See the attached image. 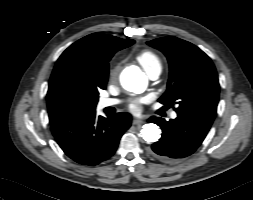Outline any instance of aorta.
<instances>
[{
	"label": "aorta",
	"mask_w": 253,
	"mask_h": 200,
	"mask_svg": "<svg viewBox=\"0 0 253 200\" xmlns=\"http://www.w3.org/2000/svg\"><path fill=\"white\" fill-rule=\"evenodd\" d=\"M121 84L128 91L142 93L147 87L148 80L143 72L132 68L121 76ZM141 136L148 143L156 142L161 137V130L156 124L148 123L143 125Z\"/></svg>",
	"instance_id": "obj_1"
}]
</instances>
